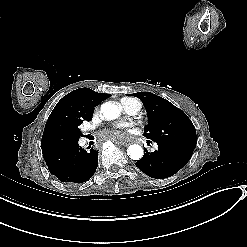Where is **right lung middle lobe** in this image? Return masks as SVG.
Returning a JSON list of instances; mask_svg holds the SVG:
<instances>
[{"instance_id": "obj_1", "label": "right lung middle lobe", "mask_w": 247, "mask_h": 247, "mask_svg": "<svg viewBox=\"0 0 247 247\" xmlns=\"http://www.w3.org/2000/svg\"><path fill=\"white\" fill-rule=\"evenodd\" d=\"M80 136L81 132L78 127L63 133L56 134L49 140L48 144L42 151H52L70 146L77 143Z\"/></svg>"}]
</instances>
